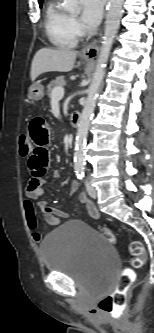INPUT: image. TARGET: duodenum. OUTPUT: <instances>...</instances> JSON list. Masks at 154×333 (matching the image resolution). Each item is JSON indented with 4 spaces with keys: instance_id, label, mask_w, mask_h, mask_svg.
Listing matches in <instances>:
<instances>
[{
    "instance_id": "410a0bca",
    "label": "duodenum",
    "mask_w": 154,
    "mask_h": 333,
    "mask_svg": "<svg viewBox=\"0 0 154 333\" xmlns=\"http://www.w3.org/2000/svg\"><path fill=\"white\" fill-rule=\"evenodd\" d=\"M81 122V113L79 111H73L70 117L71 126L78 128Z\"/></svg>"
}]
</instances>
